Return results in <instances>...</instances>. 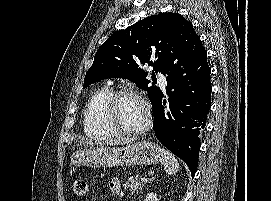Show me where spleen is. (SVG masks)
<instances>
[{
	"label": "spleen",
	"mask_w": 271,
	"mask_h": 201,
	"mask_svg": "<svg viewBox=\"0 0 271 201\" xmlns=\"http://www.w3.org/2000/svg\"><path fill=\"white\" fill-rule=\"evenodd\" d=\"M162 150V159L161 162L164 165V170L166 174L173 175L176 174L179 170V163L175 156L169 152L168 150L161 149Z\"/></svg>",
	"instance_id": "spleen-1"
}]
</instances>
